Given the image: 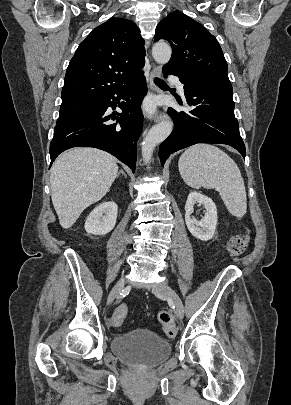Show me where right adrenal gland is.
<instances>
[{
  "label": "right adrenal gland",
  "instance_id": "2a0ac1e0",
  "mask_svg": "<svg viewBox=\"0 0 291 405\" xmlns=\"http://www.w3.org/2000/svg\"><path fill=\"white\" fill-rule=\"evenodd\" d=\"M119 174H123V175L125 176V178L127 177L123 170H120L119 173H118V175H119Z\"/></svg>",
  "mask_w": 291,
  "mask_h": 405
}]
</instances>
